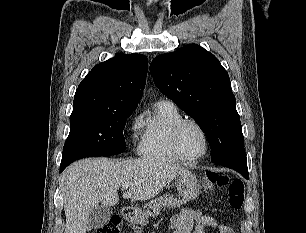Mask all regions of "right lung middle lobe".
I'll return each mask as SVG.
<instances>
[{"label":"right lung middle lobe","instance_id":"dd1d6c3e","mask_svg":"<svg viewBox=\"0 0 306 233\" xmlns=\"http://www.w3.org/2000/svg\"><path fill=\"white\" fill-rule=\"evenodd\" d=\"M135 109L73 106L70 133L65 141L61 164L84 157L108 156L125 151L123 130Z\"/></svg>","mask_w":306,"mask_h":233}]
</instances>
